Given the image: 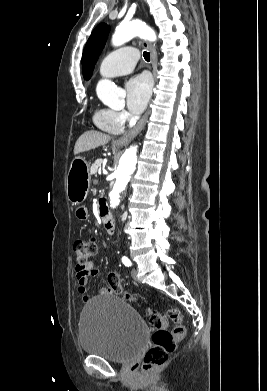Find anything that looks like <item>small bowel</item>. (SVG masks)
Masks as SVG:
<instances>
[{
  "label": "small bowel",
  "mask_w": 267,
  "mask_h": 391,
  "mask_svg": "<svg viewBox=\"0 0 267 391\" xmlns=\"http://www.w3.org/2000/svg\"><path fill=\"white\" fill-rule=\"evenodd\" d=\"M76 215L79 219H86L88 216L87 209L85 207H79L76 210ZM98 272V268H96L93 264L86 269H78L76 267L77 289L83 302H87L90 299V296L87 293L88 280L90 277L96 276ZM99 293L101 295L111 294L108 288H101Z\"/></svg>",
  "instance_id": "small-bowel-1"
}]
</instances>
